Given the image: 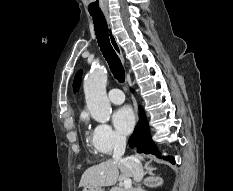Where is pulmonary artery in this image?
Listing matches in <instances>:
<instances>
[{"label":"pulmonary artery","instance_id":"pulmonary-artery-1","mask_svg":"<svg viewBox=\"0 0 233 191\" xmlns=\"http://www.w3.org/2000/svg\"><path fill=\"white\" fill-rule=\"evenodd\" d=\"M108 98L114 104H121L125 100V95L120 89L113 88L108 92Z\"/></svg>","mask_w":233,"mask_h":191}]
</instances>
